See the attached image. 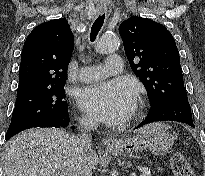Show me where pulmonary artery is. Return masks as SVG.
<instances>
[{"label":"pulmonary artery","mask_w":205,"mask_h":176,"mask_svg":"<svg viewBox=\"0 0 205 176\" xmlns=\"http://www.w3.org/2000/svg\"><path fill=\"white\" fill-rule=\"evenodd\" d=\"M122 72V61L118 55L108 57L105 65L83 67L79 78L82 82L101 80L107 75L120 74Z\"/></svg>","instance_id":"e3ab8cb5"}]
</instances>
